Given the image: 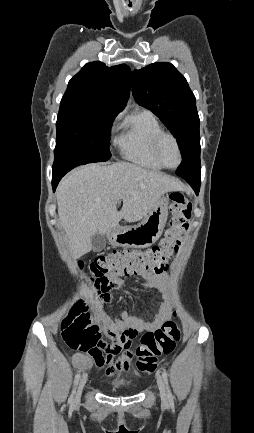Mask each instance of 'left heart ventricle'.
<instances>
[{
  "instance_id": "1",
  "label": "left heart ventricle",
  "mask_w": 254,
  "mask_h": 433,
  "mask_svg": "<svg viewBox=\"0 0 254 433\" xmlns=\"http://www.w3.org/2000/svg\"><path fill=\"white\" fill-rule=\"evenodd\" d=\"M161 160L170 167L175 166L179 161L178 152L174 142L170 138H163L159 145Z\"/></svg>"
}]
</instances>
